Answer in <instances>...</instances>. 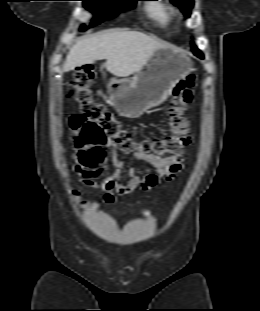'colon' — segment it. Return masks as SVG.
Returning a JSON list of instances; mask_svg holds the SVG:
<instances>
[{
  "label": "colon",
  "instance_id": "obj_1",
  "mask_svg": "<svg viewBox=\"0 0 260 311\" xmlns=\"http://www.w3.org/2000/svg\"><path fill=\"white\" fill-rule=\"evenodd\" d=\"M95 77L93 67L85 66L75 72L67 91V98L78 105V112L69 117L68 124L73 133L75 158L80 166L102 165L106 158L104 144L109 141L127 151L137 150L159 157L182 154L191 141L185 112L195 89L193 76L181 79L173 89L167 110L170 134L141 141H135L130 130L94 98L91 85Z\"/></svg>",
  "mask_w": 260,
  "mask_h": 311
}]
</instances>
